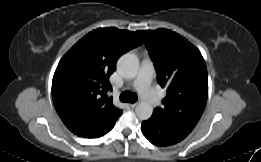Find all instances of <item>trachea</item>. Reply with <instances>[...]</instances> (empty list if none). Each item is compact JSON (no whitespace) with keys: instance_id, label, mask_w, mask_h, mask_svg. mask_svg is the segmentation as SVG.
<instances>
[{"instance_id":"3493384b","label":"trachea","mask_w":261,"mask_h":162,"mask_svg":"<svg viewBox=\"0 0 261 162\" xmlns=\"http://www.w3.org/2000/svg\"><path fill=\"white\" fill-rule=\"evenodd\" d=\"M120 100L122 102H130V103H134L137 101V96L135 94H130L127 91H124L121 93L120 95Z\"/></svg>"}]
</instances>
